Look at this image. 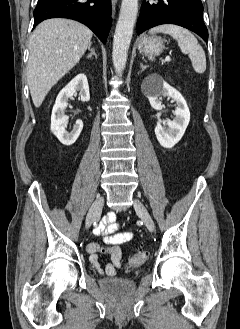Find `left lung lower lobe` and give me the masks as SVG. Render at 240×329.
<instances>
[{
	"mask_svg": "<svg viewBox=\"0 0 240 329\" xmlns=\"http://www.w3.org/2000/svg\"><path fill=\"white\" fill-rule=\"evenodd\" d=\"M201 0L144 1L137 22L138 35L161 24H176L198 34L208 41V30L203 22Z\"/></svg>",
	"mask_w": 240,
	"mask_h": 329,
	"instance_id": "0a47b994",
	"label": "left lung lower lobe"
}]
</instances>
